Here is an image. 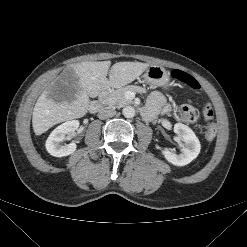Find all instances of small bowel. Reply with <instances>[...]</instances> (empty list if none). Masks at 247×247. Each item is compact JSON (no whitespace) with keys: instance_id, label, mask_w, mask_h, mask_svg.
<instances>
[{"instance_id":"1","label":"small bowel","mask_w":247,"mask_h":247,"mask_svg":"<svg viewBox=\"0 0 247 247\" xmlns=\"http://www.w3.org/2000/svg\"><path fill=\"white\" fill-rule=\"evenodd\" d=\"M167 106L164 104V99L161 94L153 93L148 100L147 106L144 110L146 118H152L160 110H166Z\"/></svg>"}]
</instances>
